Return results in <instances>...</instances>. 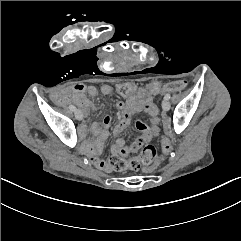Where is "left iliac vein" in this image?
<instances>
[{
    "instance_id": "obj_1",
    "label": "left iliac vein",
    "mask_w": 241,
    "mask_h": 241,
    "mask_svg": "<svg viewBox=\"0 0 241 241\" xmlns=\"http://www.w3.org/2000/svg\"><path fill=\"white\" fill-rule=\"evenodd\" d=\"M162 107L164 111H168L170 109V103L168 102V100H163L162 102Z\"/></svg>"
}]
</instances>
